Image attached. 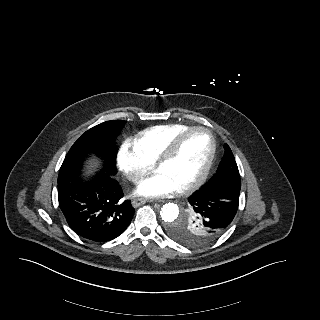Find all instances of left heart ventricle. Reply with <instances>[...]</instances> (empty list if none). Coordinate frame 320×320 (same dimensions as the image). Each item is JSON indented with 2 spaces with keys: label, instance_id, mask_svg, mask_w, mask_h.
Returning a JSON list of instances; mask_svg holds the SVG:
<instances>
[{
  "label": "left heart ventricle",
  "instance_id": "obj_1",
  "mask_svg": "<svg viewBox=\"0 0 320 320\" xmlns=\"http://www.w3.org/2000/svg\"><path fill=\"white\" fill-rule=\"evenodd\" d=\"M210 141L207 134L196 132L187 136L172 159L158 171L164 173L179 188L193 181L202 172L209 156Z\"/></svg>",
  "mask_w": 320,
  "mask_h": 320
}]
</instances>
